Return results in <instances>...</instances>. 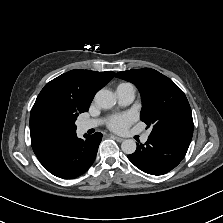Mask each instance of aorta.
<instances>
[{
  "mask_svg": "<svg viewBox=\"0 0 223 223\" xmlns=\"http://www.w3.org/2000/svg\"><path fill=\"white\" fill-rule=\"evenodd\" d=\"M94 100L95 103L103 109H110L116 103L114 94L107 89H101L98 91ZM121 149L125 154H132L136 150V143L133 139L123 140Z\"/></svg>",
  "mask_w": 223,
  "mask_h": 223,
  "instance_id": "obj_1",
  "label": "aorta"
}]
</instances>
